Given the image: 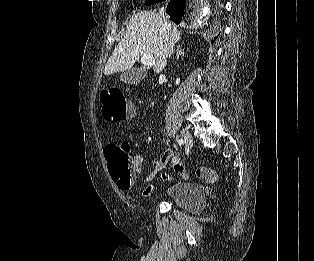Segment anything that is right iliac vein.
Returning a JSON list of instances; mask_svg holds the SVG:
<instances>
[{
	"label": "right iliac vein",
	"mask_w": 314,
	"mask_h": 261,
	"mask_svg": "<svg viewBox=\"0 0 314 261\" xmlns=\"http://www.w3.org/2000/svg\"><path fill=\"white\" fill-rule=\"evenodd\" d=\"M181 136L186 145L191 146L193 144V138L188 130L182 129Z\"/></svg>",
	"instance_id": "63e3f726"
}]
</instances>
